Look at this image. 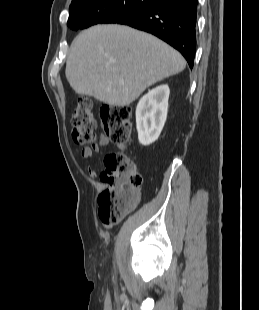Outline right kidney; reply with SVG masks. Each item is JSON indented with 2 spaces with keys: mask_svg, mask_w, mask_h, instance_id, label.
Listing matches in <instances>:
<instances>
[{
  "mask_svg": "<svg viewBox=\"0 0 259 310\" xmlns=\"http://www.w3.org/2000/svg\"><path fill=\"white\" fill-rule=\"evenodd\" d=\"M169 92L168 85H160L139 100L136 127L140 144L147 146L158 139L167 118Z\"/></svg>",
  "mask_w": 259,
  "mask_h": 310,
  "instance_id": "obj_1",
  "label": "right kidney"
}]
</instances>
